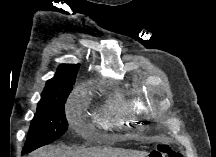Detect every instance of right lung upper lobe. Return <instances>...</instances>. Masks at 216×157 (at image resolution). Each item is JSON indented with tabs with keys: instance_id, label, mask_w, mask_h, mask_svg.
<instances>
[{
	"instance_id": "obj_1",
	"label": "right lung upper lobe",
	"mask_w": 216,
	"mask_h": 157,
	"mask_svg": "<svg viewBox=\"0 0 216 157\" xmlns=\"http://www.w3.org/2000/svg\"><path fill=\"white\" fill-rule=\"evenodd\" d=\"M79 66V64H61L55 76L46 82L38 107L45 103L49 97L54 96L58 92L64 89H72Z\"/></svg>"
}]
</instances>
